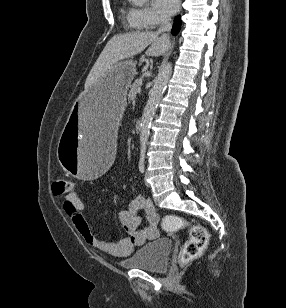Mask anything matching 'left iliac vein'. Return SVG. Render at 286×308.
Wrapping results in <instances>:
<instances>
[{
    "label": "left iliac vein",
    "instance_id": "1",
    "mask_svg": "<svg viewBox=\"0 0 286 308\" xmlns=\"http://www.w3.org/2000/svg\"><path fill=\"white\" fill-rule=\"evenodd\" d=\"M147 177H148V175H147V173H146V174H145V177H144L145 185H146L147 187H149L150 184L147 182Z\"/></svg>",
    "mask_w": 286,
    "mask_h": 308
}]
</instances>
